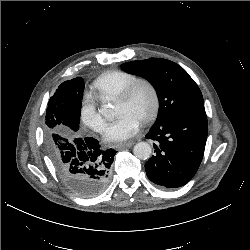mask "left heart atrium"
I'll return each instance as SVG.
<instances>
[{
	"mask_svg": "<svg viewBox=\"0 0 250 250\" xmlns=\"http://www.w3.org/2000/svg\"><path fill=\"white\" fill-rule=\"evenodd\" d=\"M140 119L130 113H124L111 122L104 133L107 142H116L134 136L140 127Z\"/></svg>",
	"mask_w": 250,
	"mask_h": 250,
	"instance_id": "39dd6f15",
	"label": "left heart atrium"
}]
</instances>
